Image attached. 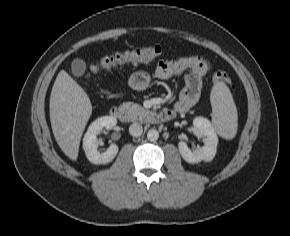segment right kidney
I'll list each match as a JSON object with an SVG mask.
<instances>
[{
    "label": "right kidney",
    "instance_id": "right-kidney-1",
    "mask_svg": "<svg viewBox=\"0 0 290 236\" xmlns=\"http://www.w3.org/2000/svg\"><path fill=\"white\" fill-rule=\"evenodd\" d=\"M117 124V119L113 116H103L91 123L83 138V149L86 157L93 164H107L111 162L118 153V147L112 144L106 152L100 153L97 135L105 127L112 129Z\"/></svg>",
    "mask_w": 290,
    "mask_h": 236
}]
</instances>
